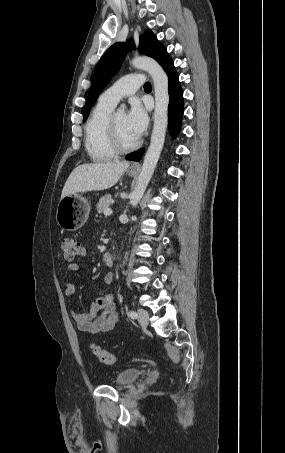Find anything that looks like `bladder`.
<instances>
[{
	"label": "bladder",
	"mask_w": 285,
	"mask_h": 453,
	"mask_svg": "<svg viewBox=\"0 0 285 453\" xmlns=\"http://www.w3.org/2000/svg\"><path fill=\"white\" fill-rule=\"evenodd\" d=\"M142 372L138 368H129L119 372L113 380L117 386L131 384L141 376Z\"/></svg>",
	"instance_id": "31cf9c89"
}]
</instances>
